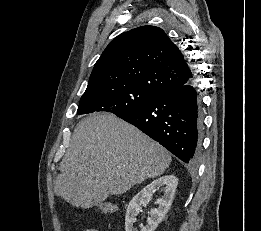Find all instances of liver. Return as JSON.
<instances>
[{
	"mask_svg": "<svg viewBox=\"0 0 261 231\" xmlns=\"http://www.w3.org/2000/svg\"><path fill=\"white\" fill-rule=\"evenodd\" d=\"M170 163L169 152L136 127L110 113H93L73 133L54 192L73 207L91 208L160 176Z\"/></svg>",
	"mask_w": 261,
	"mask_h": 231,
	"instance_id": "6515ba94",
	"label": "liver"
}]
</instances>
